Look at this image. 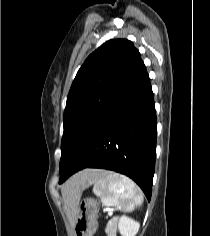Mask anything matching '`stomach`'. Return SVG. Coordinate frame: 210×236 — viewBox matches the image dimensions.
<instances>
[{
	"mask_svg": "<svg viewBox=\"0 0 210 236\" xmlns=\"http://www.w3.org/2000/svg\"><path fill=\"white\" fill-rule=\"evenodd\" d=\"M99 204L95 199L85 198L78 207L74 225V236H93L97 227Z\"/></svg>",
	"mask_w": 210,
	"mask_h": 236,
	"instance_id": "0dacf381",
	"label": "stomach"
}]
</instances>
